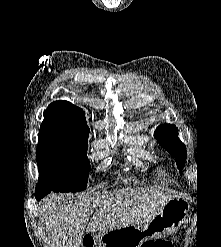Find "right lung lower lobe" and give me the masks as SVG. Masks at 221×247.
I'll return each instance as SVG.
<instances>
[{"label": "right lung lower lobe", "instance_id": "obj_1", "mask_svg": "<svg viewBox=\"0 0 221 247\" xmlns=\"http://www.w3.org/2000/svg\"><path fill=\"white\" fill-rule=\"evenodd\" d=\"M50 192H51L50 189L36 185L35 197L37 200H40Z\"/></svg>", "mask_w": 221, "mask_h": 247}]
</instances>
